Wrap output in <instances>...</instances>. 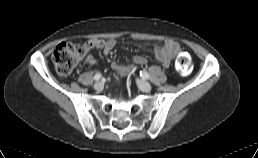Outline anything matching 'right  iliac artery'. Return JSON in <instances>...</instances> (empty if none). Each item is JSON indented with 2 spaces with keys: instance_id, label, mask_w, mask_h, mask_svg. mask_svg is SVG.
<instances>
[{
  "instance_id": "right-iliac-artery-1",
  "label": "right iliac artery",
  "mask_w": 258,
  "mask_h": 158,
  "mask_svg": "<svg viewBox=\"0 0 258 158\" xmlns=\"http://www.w3.org/2000/svg\"><path fill=\"white\" fill-rule=\"evenodd\" d=\"M101 77H102V75L100 73H96L95 76H94V80L98 81V80L101 79Z\"/></svg>"
}]
</instances>
